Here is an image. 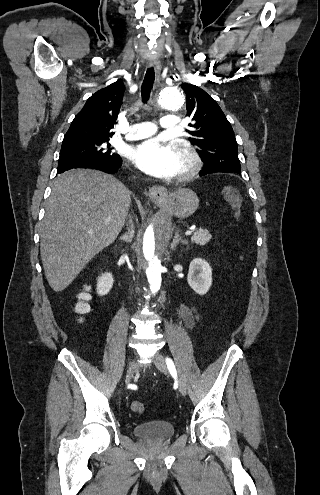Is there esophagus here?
<instances>
[{
	"label": "esophagus",
	"instance_id": "esophagus-1",
	"mask_svg": "<svg viewBox=\"0 0 320 495\" xmlns=\"http://www.w3.org/2000/svg\"><path fill=\"white\" fill-rule=\"evenodd\" d=\"M149 67L154 68L156 72V80L159 81V76L161 72L160 62L154 59L149 60ZM149 196L155 201L159 202L165 199L167 196V190L163 186H151L149 188Z\"/></svg>",
	"mask_w": 320,
	"mask_h": 495
}]
</instances>
